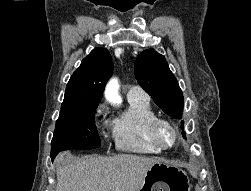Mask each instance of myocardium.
Instances as JSON below:
<instances>
[{
  "mask_svg": "<svg viewBox=\"0 0 251 191\" xmlns=\"http://www.w3.org/2000/svg\"><path fill=\"white\" fill-rule=\"evenodd\" d=\"M162 124H165L171 127L178 136V140L176 144L170 149L163 148L160 145L159 140H158V128ZM147 133H148V138H149L150 143L158 151L159 154L167 153V152L177 149V147L184 141V138H185L184 134L182 133V131L180 130V128L177 126L176 123H174L169 118L159 116V115H155L149 121Z\"/></svg>",
  "mask_w": 251,
  "mask_h": 191,
  "instance_id": "f54148a6",
  "label": "myocardium"
}]
</instances>
